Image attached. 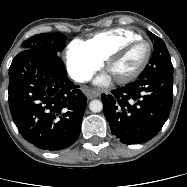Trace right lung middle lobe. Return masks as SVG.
<instances>
[{"label": "right lung middle lobe", "instance_id": "obj_1", "mask_svg": "<svg viewBox=\"0 0 187 187\" xmlns=\"http://www.w3.org/2000/svg\"><path fill=\"white\" fill-rule=\"evenodd\" d=\"M66 45V36L62 33H44L37 34L22 43L23 50H35L46 54H56L64 49Z\"/></svg>", "mask_w": 187, "mask_h": 187}]
</instances>
